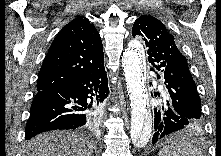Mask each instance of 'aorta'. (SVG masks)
Masks as SVG:
<instances>
[{"mask_svg":"<svg viewBox=\"0 0 221 156\" xmlns=\"http://www.w3.org/2000/svg\"><path fill=\"white\" fill-rule=\"evenodd\" d=\"M122 66L131 106V140L134 145L143 147L152 134V117L146 100L145 56L138 40H132L123 53Z\"/></svg>","mask_w":221,"mask_h":156,"instance_id":"762f6f07","label":"aorta"}]
</instances>
